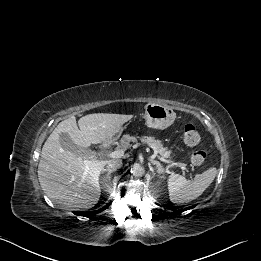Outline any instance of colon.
<instances>
[{
  "instance_id": "5ec220e1",
  "label": "colon",
  "mask_w": 261,
  "mask_h": 261,
  "mask_svg": "<svg viewBox=\"0 0 261 261\" xmlns=\"http://www.w3.org/2000/svg\"><path fill=\"white\" fill-rule=\"evenodd\" d=\"M183 140L188 146H197L200 142V134L193 124H186L183 131ZM206 159L204 150L197 149L191 154V161L195 165H201Z\"/></svg>"
}]
</instances>
